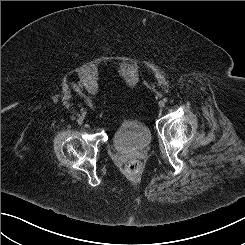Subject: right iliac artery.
I'll return each mask as SVG.
<instances>
[{
    "label": "right iliac artery",
    "mask_w": 245,
    "mask_h": 245,
    "mask_svg": "<svg viewBox=\"0 0 245 245\" xmlns=\"http://www.w3.org/2000/svg\"><path fill=\"white\" fill-rule=\"evenodd\" d=\"M76 118L74 116H71V120L74 121Z\"/></svg>",
    "instance_id": "obj_1"
}]
</instances>
